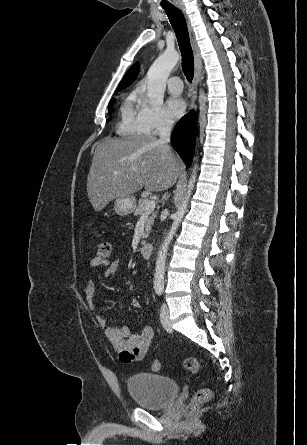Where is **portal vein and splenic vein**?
<instances>
[{
    "label": "portal vein and splenic vein",
    "instance_id": "1",
    "mask_svg": "<svg viewBox=\"0 0 307 445\" xmlns=\"http://www.w3.org/2000/svg\"><path fill=\"white\" fill-rule=\"evenodd\" d=\"M132 170H137V168H132ZM113 174H121V172H113ZM155 206H156L155 200H148L147 204H145L144 214H148V212L154 210Z\"/></svg>",
    "mask_w": 307,
    "mask_h": 445
}]
</instances>
